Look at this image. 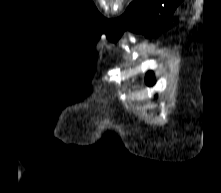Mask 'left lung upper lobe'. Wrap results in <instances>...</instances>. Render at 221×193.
Segmentation results:
<instances>
[{"label":"left lung upper lobe","mask_w":221,"mask_h":193,"mask_svg":"<svg viewBox=\"0 0 221 193\" xmlns=\"http://www.w3.org/2000/svg\"><path fill=\"white\" fill-rule=\"evenodd\" d=\"M145 80H146V84L149 85V86L152 85V84H154L153 73H152V72H148V73L146 74Z\"/></svg>","instance_id":"1"}]
</instances>
